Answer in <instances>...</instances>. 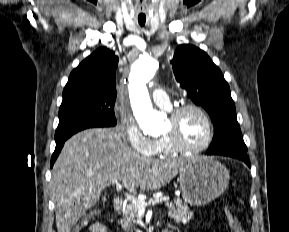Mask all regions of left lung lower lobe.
Wrapping results in <instances>:
<instances>
[{
	"instance_id": "1",
	"label": "left lung lower lobe",
	"mask_w": 289,
	"mask_h": 232,
	"mask_svg": "<svg viewBox=\"0 0 289 232\" xmlns=\"http://www.w3.org/2000/svg\"><path fill=\"white\" fill-rule=\"evenodd\" d=\"M208 155H222V156L237 158V159L244 161L249 167H251L249 158H248L246 152H243V151H240V152H222V153L208 154Z\"/></svg>"
}]
</instances>
